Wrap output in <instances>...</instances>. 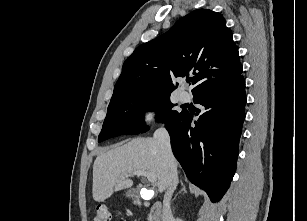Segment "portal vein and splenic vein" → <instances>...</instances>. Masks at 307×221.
Returning <instances> with one entry per match:
<instances>
[{"label":"portal vein and splenic vein","instance_id":"obj_1","mask_svg":"<svg viewBox=\"0 0 307 221\" xmlns=\"http://www.w3.org/2000/svg\"><path fill=\"white\" fill-rule=\"evenodd\" d=\"M132 175H137V176H144L148 179L149 182L155 183L157 178L156 175L152 172H148L145 170H137L131 173Z\"/></svg>","mask_w":307,"mask_h":221}]
</instances>
